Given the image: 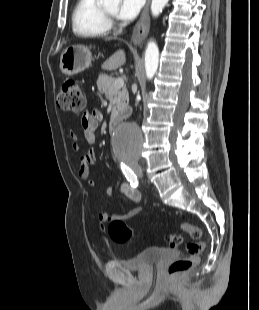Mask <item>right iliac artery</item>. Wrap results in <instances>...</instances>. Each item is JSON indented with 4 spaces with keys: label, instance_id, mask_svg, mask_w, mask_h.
<instances>
[{
    "label": "right iliac artery",
    "instance_id": "82829eb1",
    "mask_svg": "<svg viewBox=\"0 0 259 310\" xmlns=\"http://www.w3.org/2000/svg\"><path fill=\"white\" fill-rule=\"evenodd\" d=\"M121 169L124 173L126 179L130 182L131 186L137 187L138 186V179L135 173L125 164L121 163Z\"/></svg>",
    "mask_w": 259,
    "mask_h": 310
}]
</instances>
